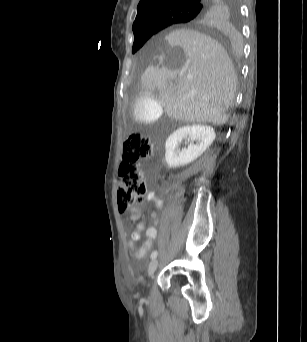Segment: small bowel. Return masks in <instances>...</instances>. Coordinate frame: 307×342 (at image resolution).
<instances>
[{
  "label": "small bowel",
  "mask_w": 307,
  "mask_h": 342,
  "mask_svg": "<svg viewBox=\"0 0 307 342\" xmlns=\"http://www.w3.org/2000/svg\"><path fill=\"white\" fill-rule=\"evenodd\" d=\"M146 198L148 201H154L158 208H161L163 206V201L161 199L156 198L153 192H149ZM150 218L153 224L149 228H147L146 239L142 242L139 248L136 247L135 242L139 240L141 232L145 229V223L140 222L137 228L130 234L129 248L132 254L138 259H141L148 254L153 244V241L157 236V213L152 212Z\"/></svg>",
  "instance_id": "small-bowel-1"
}]
</instances>
